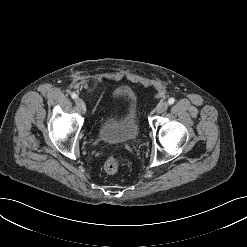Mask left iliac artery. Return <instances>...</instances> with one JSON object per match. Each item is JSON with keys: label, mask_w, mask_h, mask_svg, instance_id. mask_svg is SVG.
I'll return each instance as SVG.
<instances>
[{"label": "left iliac artery", "mask_w": 247, "mask_h": 247, "mask_svg": "<svg viewBox=\"0 0 247 247\" xmlns=\"http://www.w3.org/2000/svg\"><path fill=\"white\" fill-rule=\"evenodd\" d=\"M174 102H175V99H174V98H170V99L168 100V103H169L170 105H172Z\"/></svg>", "instance_id": "44dca946"}]
</instances>
